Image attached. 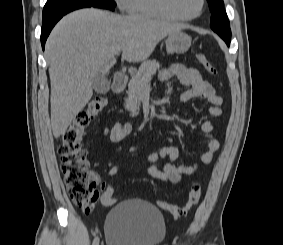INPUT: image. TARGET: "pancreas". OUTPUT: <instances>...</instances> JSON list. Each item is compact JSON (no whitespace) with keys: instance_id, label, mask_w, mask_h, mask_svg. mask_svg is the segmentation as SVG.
Here are the masks:
<instances>
[{"instance_id":"cf45deb5","label":"pancreas","mask_w":283,"mask_h":245,"mask_svg":"<svg viewBox=\"0 0 283 245\" xmlns=\"http://www.w3.org/2000/svg\"><path fill=\"white\" fill-rule=\"evenodd\" d=\"M159 68L158 61L147 60L141 64L136 74H132L128 84V97L125 99V108L131 112V116L138 114L141 91Z\"/></svg>"}]
</instances>
